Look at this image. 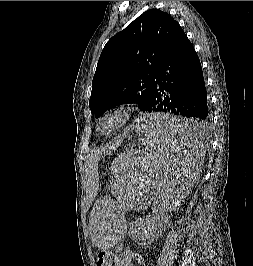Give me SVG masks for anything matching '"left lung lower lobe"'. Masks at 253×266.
<instances>
[{"instance_id":"left-lung-lower-lobe-1","label":"left lung lower lobe","mask_w":253,"mask_h":266,"mask_svg":"<svg viewBox=\"0 0 253 266\" xmlns=\"http://www.w3.org/2000/svg\"><path fill=\"white\" fill-rule=\"evenodd\" d=\"M146 112H167L188 118L152 129L168 138L187 141L205 134L211 123L207 91L198 55L179 24L157 63L153 92Z\"/></svg>"}]
</instances>
